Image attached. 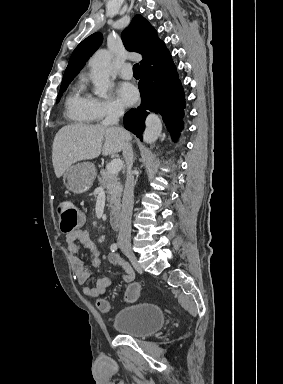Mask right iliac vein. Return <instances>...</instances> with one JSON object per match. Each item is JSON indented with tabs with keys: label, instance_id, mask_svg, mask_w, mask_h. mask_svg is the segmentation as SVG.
Here are the masks:
<instances>
[{
	"label": "right iliac vein",
	"instance_id": "1",
	"mask_svg": "<svg viewBox=\"0 0 283 384\" xmlns=\"http://www.w3.org/2000/svg\"><path fill=\"white\" fill-rule=\"evenodd\" d=\"M122 252L128 257V259L131 261V263L133 264V266L138 269L139 271H141V267L137 261V257L135 256L134 252L132 251V249L130 247H122Z\"/></svg>",
	"mask_w": 283,
	"mask_h": 384
}]
</instances>
